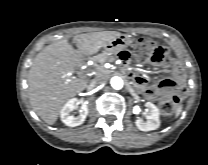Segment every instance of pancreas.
Wrapping results in <instances>:
<instances>
[{"label":"pancreas","mask_w":208,"mask_h":165,"mask_svg":"<svg viewBox=\"0 0 208 165\" xmlns=\"http://www.w3.org/2000/svg\"><path fill=\"white\" fill-rule=\"evenodd\" d=\"M114 60L115 57L112 56V53L105 51L94 58V66L96 67L98 73H108L109 71L103 68V64L107 61L112 62Z\"/></svg>","instance_id":"pancreas-1"}]
</instances>
